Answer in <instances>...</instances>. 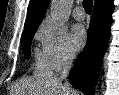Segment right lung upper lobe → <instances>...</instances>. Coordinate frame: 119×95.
Instances as JSON below:
<instances>
[{"label":"right lung upper lobe","instance_id":"cb5924a9","mask_svg":"<svg viewBox=\"0 0 119 95\" xmlns=\"http://www.w3.org/2000/svg\"><path fill=\"white\" fill-rule=\"evenodd\" d=\"M109 1L111 0H95L94 7L101 6ZM48 4H49V0H30L27 9V18L25 21V27L23 33L38 28L39 24L42 22L44 18Z\"/></svg>","mask_w":119,"mask_h":95}]
</instances>
